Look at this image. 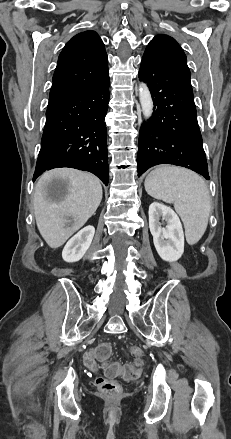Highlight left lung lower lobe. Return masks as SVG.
<instances>
[{"label":"left lung lower lobe","mask_w":231,"mask_h":439,"mask_svg":"<svg viewBox=\"0 0 231 439\" xmlns=\"http://www.w3.org/2000/svg\"><path fill=\"white\" fill-rule=\"evenodd\" d=\"M139 78L154 110L139 134L138 174L158 164L187 167L210 179L190 79L153 49H146Z\"/></svg>","instance_id":"0a47b994"}]
</instances>
